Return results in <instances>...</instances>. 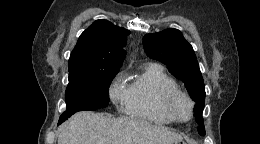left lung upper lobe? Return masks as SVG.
Listing matches in <instances>:
<instances>
[{"instance_id":"left-lung-upper-lobe-1","label":"left lung upper lobe","mask_w":260,"mask_h":144,"mask_svg":"<svg viewBox=\"0 0 260 144\" xmlns=\"http://www.w3.org/2000/svg\"><path fill=\"white\" fill-rule=\"evenodd\" d=\"M143 46L148 57L164 63L169 72L181 79L196 102L194 109L199 134L205 135L202 112L205 104V85L192 46L177 29L146 34Z\"/></svg>"}]
</instances>
